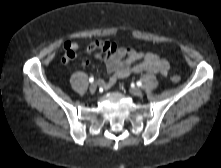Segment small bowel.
I'll use <instances>...</instances> for the list:
<instances>
[{
  "label": "small bowel",
  "mask_w": 221,
  "mask_h": 168,
  "mask_svg": "<svg viewBox=\"0 0 221 168\" xmlns=\"http://www.w3.org/2000/svg\"><path fill=\"white\" fill-rule=\"evenodd\" d=\"M78 48L77 42H66L63 62L73 60ZM87 51L95 53L97 58L104 61L106 71L110 76L106 80L100 79L98 83L105 89L112 87L118 79L126 78L131 74L152 72L167 76L170 69L168 61L155 53L118 46L115 42L93 41L88 45ZM88 64V60L83 61V65Z\"/></svg>",
  "instance_id": "obj_1"
}]
</instances>
